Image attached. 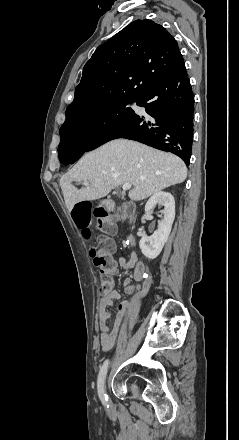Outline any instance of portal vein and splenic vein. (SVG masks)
Segmentation results:
<instances>
[{"instance_id": "portal-vein-and-splenic-vein-1", "label": "portal vein and splenic vein", "mask_w": 239, "mask_h": 440, "mask_svg": "<svg viewBox=\"0 0 239 440\" xmlns=\"http://www.w3.org/2000/svg\"><path fill=\"white\" fill-rule=\"evenodd\" d=\"M83 186H88V184H85V182H83ZM132 184H124V186H122V190H130Z\"/></svg>"}]
</instances>
